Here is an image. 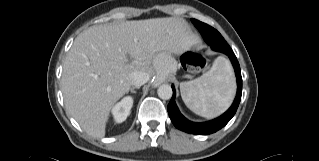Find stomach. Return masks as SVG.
<instances>
[{
	"mask_svg": "<svg viewBox=\"0 0 319 161\" xmlns=\"http://www.w3.org/2000/svg\"><path fill=\"white\" fill-rule=\"evenodd\" d=\"M154 65L161 77H168L177 71V61L170 52L160 51L154 57Z\"/></svg>",
	"mask_w": 319,
	"mask_h": 161,
	"instance_id": "0dacf381",
	"label": "stomach"
}]
</instances>
